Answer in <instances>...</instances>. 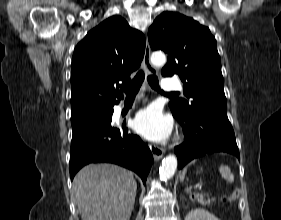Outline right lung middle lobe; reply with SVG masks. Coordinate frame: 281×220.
I'll return each mask as SVG.
<instances>
[{"label": "right lung middle lobe", "mask_w": 281, "mask_h": 220, "mask_svg": "<svg viewBox=\"0 0 281 220\" xmlns=\"http://www.w3.org/2000/svg\"><path fill=\"white\" fill-rule=\"evenodd\" d=\"M96 115H98V114L86 116V117H83V118L71 119V123H72V125H74V124H76L77 122H80V121H82V120H85V119L94 117V116H96Z\"/></svg>", "instance_id": "obj_1"}]
</instances>
